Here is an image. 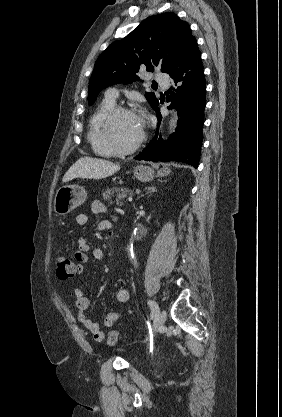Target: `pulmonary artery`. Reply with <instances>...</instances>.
<instances>
[{
    "instance_id": "pulmonary-artery-1",
    "label": "pulmonary artery",
    "mask_w": 282,
    "mask_h": 417,
    "mask_svg": "<svg viewBox=\"0 0 282 417\" xmlns=\"http://www.w3.org/2000/svg\"><path fill=\"white\" fill-rule=\"evenodd\" d=\"M154 81L155 83H166L167 76L166 74H155ZM118 95H119L118 89L115 87H111L107 89V91L105 92V97L111 101H115Z\"/></svg>"
}]
</instances>
